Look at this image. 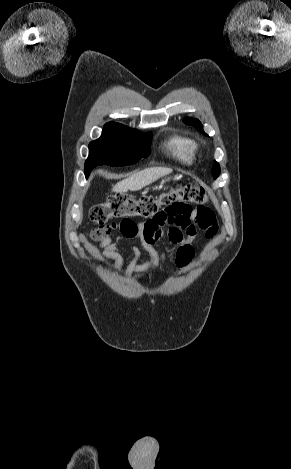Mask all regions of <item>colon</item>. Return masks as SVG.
<instances>
[{
  "label": "colon",
  "instance_id": "5ec220e1",
  "mask_svg": "<svg viewBox=\"0 0 291 469\" xmlns=\"http://www.w3.org/2000/svg\"><path fill=\"white\" fill-rule=\"evenodd\" d=\"M207 194L203 187L180 185L170 188L159 195H144L139 198L116 194L104 202L94 205L89 211L90 220L99 225L98 230L106 232L112 219L130 220L134 217L145 219L161 218L171 213L187 212L190 206L197 205L201 217L210 210L205 207Z\"/></svg>",
  "mask_w": 291,
  "mask_h": 469
}]
</instances>
